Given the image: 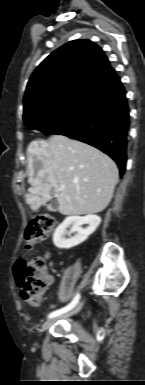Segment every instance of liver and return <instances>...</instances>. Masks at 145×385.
I'll return each instance as SVG.
<instances>
[{"label":"liver","instance_id":"obj_1","mask_svg":"<svg viewBox=\"0 0 145 385\" xmlns=\"http://www.w3.org/2000/svg\"><path fill=\"white\" fill-rule=\"evenodd\" d=\"M27 155L31 188L26 202L32 210L50 201L52 192L62 215L99 213L110 203L119 173L115 162L100 150L53 135L32 141Z\"/></svg>","mask_w":145,"mask_h":385}]
</instances>
